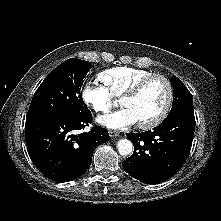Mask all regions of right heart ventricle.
I'll use <instances>...</instances> for the list:
<instances>
[{
  "label": "right heart ventricle",
  "instance_id": "obj_1",
  "mask_svg": "<svg viewBox=\"0 0 221 221\" xmlns=\"http://www.w3.org/2000/svg\"><path fill=\"white\" fill-rule=\"evenodd\" d=\"M151 72L134 67L120 66L106 69L98 74L108 93L115 98L122 97L139 79Z\"/></svg>",
  "mask_w": 221,
  "mask_h": 221
}]
</instances>
